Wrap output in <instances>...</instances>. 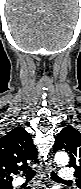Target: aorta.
<instances>
[{"instance_id": "aorta-1", "label": "aorta", "mask_w": 81, "mask_h": 189, "mask_svg": "<svg viewBox=\"0 0 81 189\" xmlns=\"http://www.w3.org/2000/svg\"><path fill=\"white\" fill-rule=\"evenodd\" d=\"M55 161L58 165H66L69 162V156L65 152H58L55 155Z\"/></svg>"}]
</instances>
